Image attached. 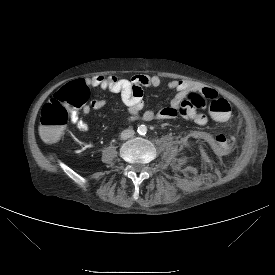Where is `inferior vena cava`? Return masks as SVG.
<instances>
[{"label":"inferior vena cava","mask_w":275,"mask_h":275,"mask_svg":"<svg viewBox=\"0 0 275 275\" xmlns=\"http://www.w3.org/2000/svg\"><path fill=\"white\" fill-rule=\"evenodd\" d=\"M135 134L134 130L132 129H126L121 133V139L122 140H126L128 138L133 137V135Z\"/></svg>","instance_id":"inferior-vena-cava-1"}]
</instances>
